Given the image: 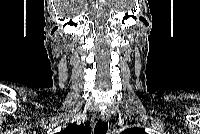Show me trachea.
Wrapping results in <instances>:
<instances>
[{
	"label": "trachea",
	"instance_id": "3493384b",
	"mask_svg": "<svg viewBox=\"0 0 200 134\" xmlns=\"http://www.w3.org/2000/svg\"><path fill=\"white\" fill-rule=\"evenodd\" d=\"M108 130V123L99 120L95 126V134H106Z\"/></svg>",
	"mask_w": 200,
	"mask_h": 134
}]
</instances>
